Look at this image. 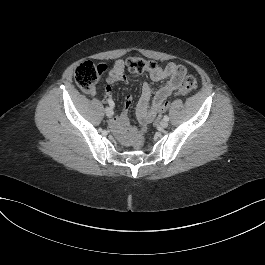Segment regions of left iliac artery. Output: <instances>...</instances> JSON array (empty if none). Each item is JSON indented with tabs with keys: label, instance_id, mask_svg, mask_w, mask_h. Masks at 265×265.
Segmentation results:
<instances>
[{
	"label": "left iliac artery",
	"instance_id": "obj_1",
	"mask_svg": "<svg viewBox=\"0 0 265 265\" xmlns=\"http://www.w3.org/2000/svg\"><path fill=\"white\" fill-rule=\"evenodd\" d=\"M164 120L169 121V117L167 115H165Z\"/></svg>",
	"mask_w": 265,
	"mask_h": 265
}]
</instances>
